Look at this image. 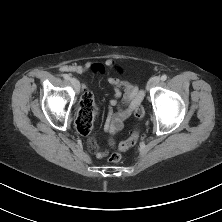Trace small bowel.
<instances>
[{
  "label": "small bowel",
  "instance_id": "obj_1",
  "mask_svg": "<svg viewBox=\"0 0 222 222\" xmlns=\"http://www.w3.org/2000/svg\"><path fill=\"white\" fill-rule=\"evenodd\" d=\"M115 61L112 59L107 60L104 64L87 62L84 65H64L61 67L62 71H70L78 74H84L88 71L92 73H102L105 67H113ZM108 83L114 88V99L109 103V112L105 121V130L109 133H116L124 127L125 121L132 115L135 108L143 99V92L134 84L121 80L115 77H109ZM122 96V100L118 103V99ZM116 110H114V108ZM92 127L89 129L91 133ZM87 134V135H88ZM90 147L95 151L97 158H102L107 155V151L100 149L96 146L94 138L88 140Z\"/></svg>",
  "mask_w": 222,
  "mask_h": 222
}]
</instances>
